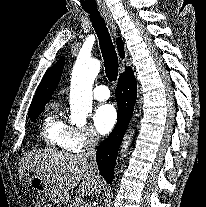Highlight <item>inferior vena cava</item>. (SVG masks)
<instances>
[{"instance_id":"inferior-vena-cava-1","label":"inferior vena cava","mask_w":206,"mask_h":207,"mask_svg":"<svg viewBox=\"0 0 206 207\" xmlns=\"http://www.w3.org/2000/svg\"><path fill=\"white\" fill-rule=\"evenodd\" d=\"M98 143V136L95 132H91L88 135L87 140L84 143L82 152L80 153V158L87 161L89 160V169L94 173L97 172V163H96V145Z\"/></svg>"}]
</instances>
